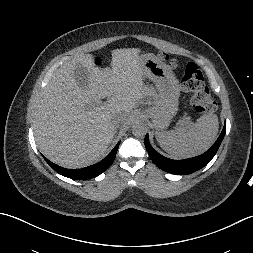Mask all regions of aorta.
Wrapping results in <instances>:
<instances>
[{
  "mask_svg": "<svg viewBox=\"0 0 253 253\" xmlns=\"http://www.w3.org/2000/svg\"><path fill=\"white\" fill-rule=\"evenodd\" d=\"M147 125L142 121H136L132 125V133L137 137H144L147 133Z\"/></svg>",
  "mask_w": 253,
  "mask_h": 253,
  "instance_id": "1",
  "label": "aorta"
}]
</instances>
